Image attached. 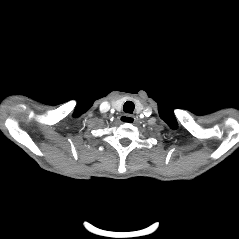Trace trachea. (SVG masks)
<instances>
[{
    "mask_svg": "<svg viewBox=\"0 0 239 239\" xmlns=\"http://www.w3.org/2000/svg\"><path fill=\"white\" fill-rule=\"evenodd\" d=\"M135 105L132 101H127L125 102L124 106H123V110L126 113H130L132 114L134 111Z\"/></svg>",
    "mask_w": 239,
    "mask_h": 239,
    "instance_id": "trachea-1",
    "label": "trachea"
}]
</instances>
